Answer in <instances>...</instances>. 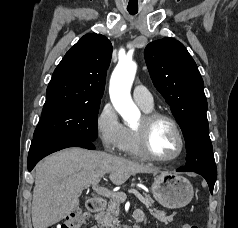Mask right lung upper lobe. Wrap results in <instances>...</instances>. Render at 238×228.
<instances>
[{"mask_svg": "<svg viewBox=\"0 0 238 228\" xmlns=\"http://www.w3.org/2000/svg\"><path fill=\"white\" fill-rule=\"evenodd\" d=\"M111 55L112 45L105 36L84 35L55 69L42 114L69 106L100 104Z\"/></svg>", "mask_w": 238, "mask_h": 228, "instance_id": "right-lung-upper-lobe-1", "label": "right lung upper lobe"}]
</instances>
